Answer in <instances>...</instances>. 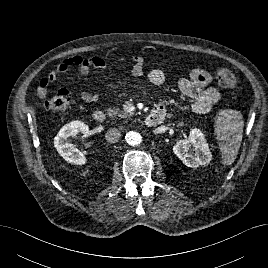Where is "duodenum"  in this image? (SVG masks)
Wrapping results in <instances>:
<instances>
[{"label": "duodenum", "instance_id": "obj_1", "mask_svg": "<svg viewBox=\"0 0 268 268\" xmlns=\"http://www.w3.org/2000/svg\"><path fill=\"white\" fill-rule=\"evenodd\" d=\"M165 117V111L163 110H152L146 117L145 123L149 127H153L158 125L163 118ZM93 119L97 123H104L106 121V115L100 111L97 110L93 114Z\"/></svg>", "mask_w": 268, "mask_h": 268}]
</instances>
